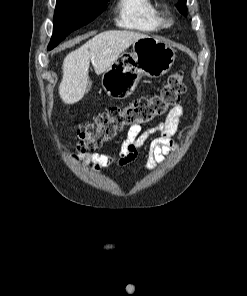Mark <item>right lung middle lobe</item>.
<instances>
[{
	"mask_svg": "<svg viewBox=\"0 0 247 296\" xmlns=\"http://www.w3.org/2000/svg\"><path fill=\"white\" fill-rule=\"evenodd\" d=\"M109 0H57L54 28L48 50L57 46L69 33L94 20Z\"/></svg>",
	"mask_w": 247,
	"mask_h": 296,
	"instance_id": "1",
	"label": "right lung middle lobe"
}]
</instances>
